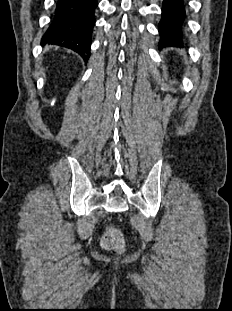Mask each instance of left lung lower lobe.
Segmentation results:
<instances>
[{
    "mask_svg": "<svg viewBox=\"0 0 232 311\" xmlns=\"http://www.w3.org/2000/svg\"><path fill=\"white\" fill-rule=\"evenodd\" d=\"M185 15L184 0L163 1L162 19L159 23L160 46L177 45L182 42Z\"/></svg>",
    "mask_w": 232,
    "mask_h": 311,
    "instance_id": "left-lung-lower-lobe-1",
    "label": "left lung lower lobe"
}]
</instances>
